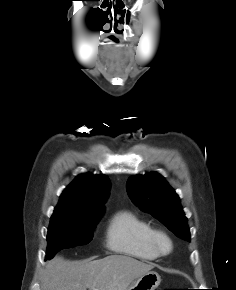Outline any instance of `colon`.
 Instances as JSON below:
<instances>
[{"instance_id": "1", "label": "colon", "mask_w": 236, "mask_h": 290, "mask_svg": "<svg viewBox=\"0 0 236 290\" xmlns=\"http://www.w3.org/2000/svg\"><path fill=\"white\" fill-rule=\"evenodd\" d=\"M164 290H176V289H164Z\"/></svg>"}]
</instances>
